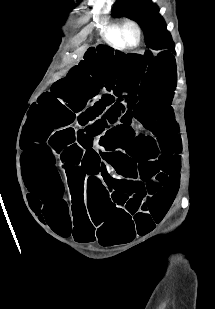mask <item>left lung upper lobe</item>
<instances>
[{
  "label": "left lung upper lobe",
  "mask_w": 215,
  "mask_h": 309,
  "mask_svg": "<svg viewBox=\"0 0 215 309\" xmlns=\"http://www.w3.org/2000/svg\"><path fill=\"white\" fill-rule=\"evenodd\" d=\"M158 12V7L151 0H119L113 15H127L137 21L144 31L147 47L154 50L172 48L174 43L171 35Z\"/></svg>",
  "instance_id": "left-lung-upper-lobe-1"
}]
</instances>
